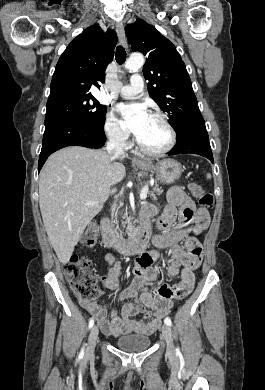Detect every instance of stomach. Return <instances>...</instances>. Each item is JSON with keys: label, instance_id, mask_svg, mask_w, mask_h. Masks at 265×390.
<instances>
[{"label": "stomach", "instance_id": "stomach-1", "mask_svg": "<svg viewBox=\"0 0 265 390\" xmlns=\"http://www.w3.org/2000/svg\"><path fill=\"white\" fill-rule=\"evenodd\" d=\"M137 167L156 174V178L162 183H173L182 174V167L179 162L173 159H165L153 164L150 159L136 163Z\"/></svg>", "mask_w": 265, "mask_h": 390}]
</instances>
